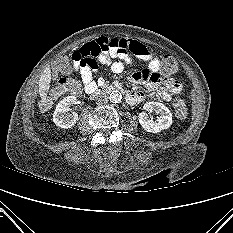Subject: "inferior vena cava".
Listing matches in <instances>:
<instances>
[{
	"label": "inferior vena cava",
	"mask_w": 233,
	"mask_h": 233,
	"mask_svg": "<svg viewBox=\"0 0 233 233\" xmlns=\"http://www.w3.org/2000/svg\"><path fill=\"white\" fill-rule=\"evenodd\" d=\"M95 98L98 105H103L108 102V97L102 93L97 94Z\"/></svg>",
	"instance_id": "602c4592"
}]
</instances>
